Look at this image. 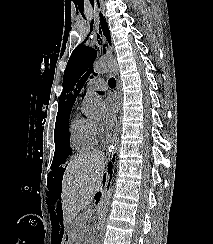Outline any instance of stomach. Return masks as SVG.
Returning a JSON list of instances; mask_svg holds the SVG:
<instances>
[{"instance_id":"0dacf381","label":"stomach","mask_w":213,"mask_h":244,"mask_svg":"<svg viewBox=\"0 0 213 244\" xmlns=\"http://www.w3.org/2000/svg\"><path fill=\"white\" fill-rule=\"evenodd\" d=\"M66 234L62 239V244H73V239H78L79 229L77 221H65Z\"/></svg>"}]
</instances>
